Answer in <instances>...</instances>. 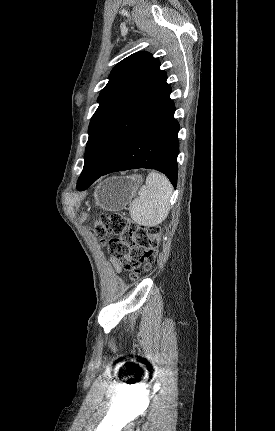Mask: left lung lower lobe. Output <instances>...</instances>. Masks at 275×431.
I'll list each match as a JSON object with an SVG mask.
<instances>
[{"mask_svg":"<svg viewBox=\"0 0 275 431\" xmlns=\"http://www.w3.org/2000/svg\"><path fill=\"white\" fill-rule=\"evenodd\" d=\"M174 113V102L169 98L105 170L78 181L77 189H87L102 175L137 168L158 170L176 187L179 123Z\"/></svg>","mask_w":275,"mask_h":431,"instance_id":"left-lung-lower-lobe-1","label":"left lung lower lobe"}]
</instances>
